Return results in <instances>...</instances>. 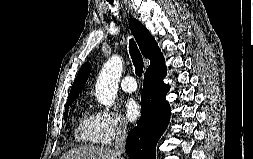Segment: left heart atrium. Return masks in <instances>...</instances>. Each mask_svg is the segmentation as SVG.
Masks as SVG:
<instances>
[{
	"instance_id": "1",
	"label": "left heart atrium",
	"mask_w": 253,
	"mask_h": 159,
	"mask_svg": "<svg viewBox=\"0 0 253 159\" xmlns=\"http://www.w3.org/2000/svg\"><path fill=\"white\" fill-rule=\"evenodd\" d=\"M124 112L129 121H134L140 115V106L134 99H128L124 104Z\"/></svg>"
}]
</instances>
